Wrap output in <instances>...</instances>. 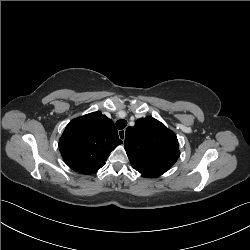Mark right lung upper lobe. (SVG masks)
<instances>
[{"instance_id":"obj_1","label":"right lung upper lobe","mask_w":250,"mask_h":250,"mask_svg":"<svg viewBox=\"0 0 250 250\" xmlns=\"http://www.w3.org/2000/svg\"><path fill=\"white\" fill-rule=\"evenodd\" d=\"M122 143L113 121L97 111L76 118L66 126L59 140V150L70 168L93 174Z\"/></svg>"}]
</instances>
